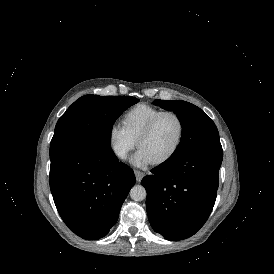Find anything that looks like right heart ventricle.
<instances>
[{
    "mask_svg": "<svg viewBox=\"0 0 274 274\" xmlns=\"http://www.w3.org/2000/svg\"><path fill=\"white\" fill-rule=\"evenodd\" d=\"M159 112H161V110L156 107L146 104H139L122 115V127L128 135L135 140L141 130Z\"/></svg>",
    "mask_w": 274,
    "mask_h": 274,
    "instance_id": "e07e8e85",
    "label": "right heart ventricle"
}]
</instances>
